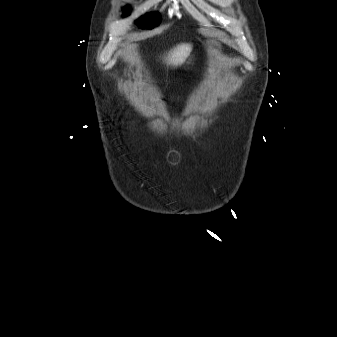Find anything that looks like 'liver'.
Returning a JSON list of instances; mask_svg holds the SVG:
<instances>
[{
	"label": "liver",
	"mask_w": 337,
	"mask_h": 337,
	"mask_svg": "<svg viewBox=\"0 0 337 337\" xmlns=\"http://www.w3.org/2000/svg\"><path fill=\"white\" fill-rule=\"evenodd\" d=\"M191 50V44H179L169 51L167 57H165V62L168 65L178 67L186 61L190 55Z\"/></svg>",
	"instance_id": "liver-1"
}]
</instances>
